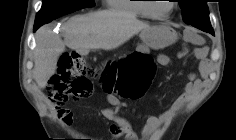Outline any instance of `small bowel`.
<instances>
[{
    "label": "small bowel",
    "mask_w": 236,
    "mask_h": 140,
    "mask_svg": "<svg viewBox=\"0 0 236 140\" xmlns=\"http://www.w3.org/2000/svg\"><path fill=\"white\" fill-rule=\"evenodd\" d=\"M187 37L189 40L194 39L195 34L188 30ZM194 56L200 62L201 77L194 73L189 75L188 81L183 86L180 95L170 104V106L158 115H143L144 120L140 137L134 131L131 122L118 114L115 107H107L102 110V116L111 121L109 128L113 140L123 136L125 140H154L156 134L166 125L170 124L176 113L198 93L203 87V80L207 76L205 54L202 49H197ZM157 63L161 66L170 64L171 59L165 54L157 56ZM59 119L66 125H71L73 121V114L68 108H59L57 111Z\"/></svg>",
    "instance_id": "c3829d8e"
}]
</instances>
